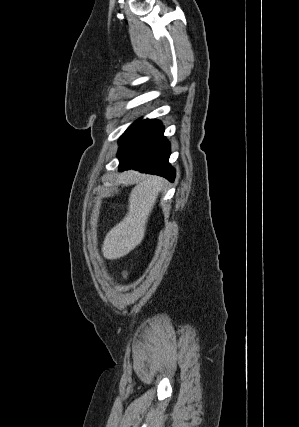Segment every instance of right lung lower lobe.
<instances>
[{
	"label": "right lung lower lobe",
	"mask_w": 299,
	"mask_h": 427,
	"mask_svg": "<svg viewBox=\"0 0 299 427\" xmlns=\"http://www.w3.org/2000/svg\"><path fill=\"white\" fill-rule=\"evenodd\" d=\"M164 127L157 120H143L120 142L119 170L135 169L174 181L175 170L169 164L170 143L163 135Z\"/></svg>",
	"instance_id": "98d812e1"
}]
</instances>
